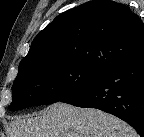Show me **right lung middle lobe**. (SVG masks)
Returning <instances> with one entry per match:
<instances>
[{"instance_id": "right-lung-middle-lobe-1", "label": "right lung middle lobe", "mask_w": 144, "mask_h": 137, "mask_svg": "<svg viewBox=\"0 0 144 137\" xmlns=\"http://www.w3.org/2000/svg\"><path fill=\"white\" fill-rule=\"evenodd\" d=\"M107 71L79 62H49L19 67L9 109L62 101L103 76Z\"/></svg>"}]
</instances>
